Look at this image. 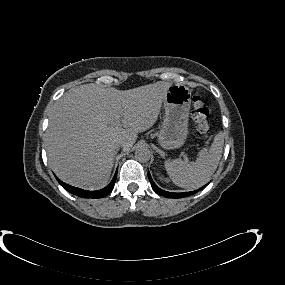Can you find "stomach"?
I'll use <instances>...</instances> for the list:
<instances>
[{"label": "stomach", "mask_w": 285, "mask_h": 285, "mask_svg": "<svg viewBox=\"0 0 285 285\" xmlns=\"http://www.w3.org/2000/svg\"><path fill=\"white\" fill-rule=\"evenodd\" d=\"M165 116L157 135L164 149L181 147L187 138L191 91L183 84H171L163 98Z\"/></svg>", "instance_id": "1"}]
</instances>
